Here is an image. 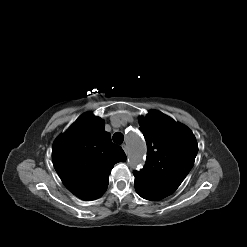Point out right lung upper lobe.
I'll list each match as a JSON object with an SVG mask.
<instances>
[{"label":"right lung upper lobe","mask_w":247,"mask_h":247,"mask_svg":"<svg viewBox=\"0 0 247 247\" xmlns=\"http://www.w3.org/2000/svg\"><path fill=\"white\" fill-rule=\"evenodd\" d=\"M52 159L70 192L82 200H94L106 191L110 171L126 155L112 143L104 121L88 112L55 140Z\"/></svg>","instance_id":"obj_1"}]
</instances>
